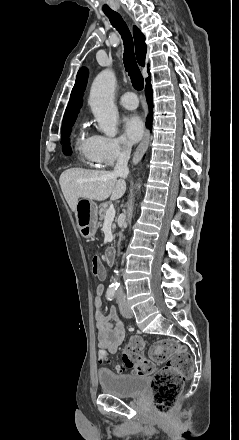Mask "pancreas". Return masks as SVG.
Segmentation results:
<instances>
[{
	"instance_id": "cf45deb5",
	"label": "pancreas",
	"mask_w": 239,
	"mask_h": 440,
	"mask_svg": "<svg viewBox=\"0 0 239 440\" xmlns=\"http://www.w3.org/2000/svg\"><path fill=\"white\" fill-rule=\"evenodd\" d=\"M107 208H108V204H106L105 208L104 206H101V208H99L98 214H99L100 222H103V220H105ZM115 228H116V224H112V230H115Z\"/></svg>"
}]
</instances>
